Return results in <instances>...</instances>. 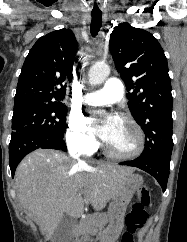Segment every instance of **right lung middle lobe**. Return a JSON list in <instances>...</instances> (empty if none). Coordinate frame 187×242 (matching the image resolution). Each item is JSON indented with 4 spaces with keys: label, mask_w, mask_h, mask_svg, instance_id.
I'll list each match as a JSON object with an SVG mask.
<instances>
[{
    "label": "right lung middle lobe",
    "mask_w": 187,
    "mask_h": 242,
    "mask_svg": "<svg viewBox=\"0 0 187 242\" xmlns=\"http://www.w3.org/2000/svg\"><path fill=\"white\" fill-rule=\"evenodd\" d=\"M67 109L60 103L14 106L12 133L29 132L63 138Z\"/></svg>",
    "instance_id": "obj_1"
}]
</instances>
